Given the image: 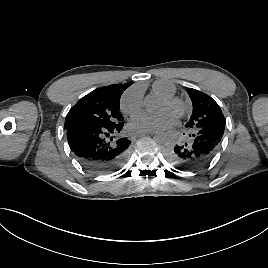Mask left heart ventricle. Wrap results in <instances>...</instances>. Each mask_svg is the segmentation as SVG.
Returning a JSON list of instances; mask_svg holds the SVG:
<instances>
[{
  "label": "left heart ventricle",
  "mask_w": 268,
  "mask_h": 268,
  "mask_svg": "<svg viewBox=\"0 0 268 268\" xmlns=\"http://www.w3.org/2000/svg\"><path fill=\"white\" fill-rule=\"evenodd\" d=\"M159 110L162 111V112L170 111V112L175 113V112H174V109L171 108L165 101H163V102L161 103V106H160Z\"/></svg>",
  "instance_id": "1"
}]
</instances>
